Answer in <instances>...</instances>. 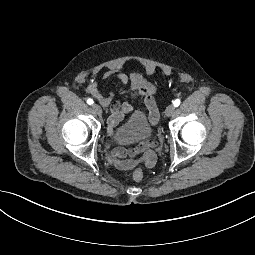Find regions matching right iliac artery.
Here are the masks:
<instances>
[{"label":"right iliac artery","mask_w":255,"mask_h":255,"mask_svg":"<svg viewBox=\"0 0 255 255\" xmlns=\"http://www.w3.org/2000/svg\"><path fill=\"white\" fill-rule=\"evenodd\" d=\"M87 103H88L89 105H92V104H93V100H92V99H88V100H87Z\"/></svg>","instance_id":"82829eb1"}]
</instances>
